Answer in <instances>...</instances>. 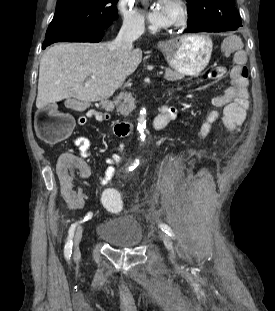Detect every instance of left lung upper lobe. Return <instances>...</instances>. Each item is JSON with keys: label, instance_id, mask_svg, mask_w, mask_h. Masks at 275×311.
<instances>
[{"label": "left lung upper lobe", "instance_id": "obj_1", "mask_svg": "<svg viewBox=\"0 0 275 311\" xmlns=\"http://www.w3.org/2000/svg\"><path fill=\"white\" fill-rule=\"evenodd\" d=\"M187 25L202 24L209 21L221 22L225 26L239 28L242 22L235 8L234 0H186Z\"/></svg>", "mask_w": 275, "mask_h": 311}]
</instances>
